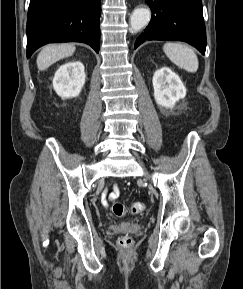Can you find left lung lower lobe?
I'll return each instance as SVG.
<instances>
[{
    "label": "left lung lower lobe",
    "instance_id": "obj_1",
    "mask_svg": "<svg viewBox=\"0 0 243 289\" xmlns=\"http://www.w3.org/2000/svg\"><path fill=\"white\" fill-rule=\"evenodd\" d=\"M152 18L136 40L135 48L146 40L184 41L203 55L206 30L201 0H146Z\"/></svg>",
    "mask_w": 243,
    "mask_h": 289
}]
</instances>
